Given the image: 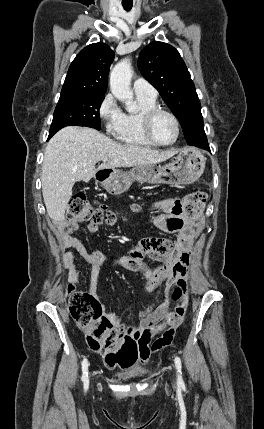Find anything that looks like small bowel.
<instances>
[{
  "label": "small bowel",
  "mask_w": 264,
  "mask_h": 429,
  "mask_svg": "<svg viewBox=\"0 0 264 429\" xmlns=\"http://www.w3.org/2000/svg\"><path fill=\"white\" fill-rule=\"evenodd\" d=\"M177 198L162 199L153 207L159 212L153 217L156 227L166 232L177 233L174 242L167 239L145 238L137 243L128 255L111 259L101 250H88L74 236L78 231L77 222L70 223L58 230V240L62 250L67 252L65 260L74 265L78 258L83 259L90 268V283L87 293L98 299L97 281L102 265L121 266L140 274L143 285L148 289H159L165 285V298L155 307L145 309L139 321L130 325L129 316L119 318L120 328L137 343V359L139 364H145L151 355L171 344L176 329L181 325L183 313L169 310V291L177 283L185 284L188 279L190 253L193 246V233L189 221L180 210ZM99 224L90 222L89 230L95 232ZM155 257L162 263L156 269L148 266L144 259ZM159 337L155 338L156 335Z\"/></svg>",
  "instance_id": "1"
}]
</instances>
